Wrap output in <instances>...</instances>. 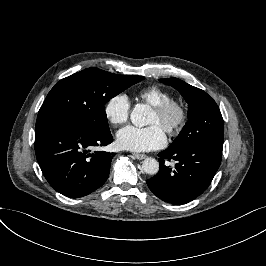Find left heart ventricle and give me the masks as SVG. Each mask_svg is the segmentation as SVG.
<instances>
[{
  "mask_svg": "<svg viewBox=\"0 0 266 266\" xmlns=\"http://www.w3.org/2000/svg\"><path fill=\"white\" fill-rule=\"evenodd\" d=\"M175 117H176V113H173L171 115V119H174ZM165 122H166V120L154 111L151 113V115L149 117V121H148V123L160 125L163 129L165 127Z\"/></svg>",
  "mask_w": 266,
  "mask_h": 266,
  "instance_id": "obj_1",
  "label": "left heart ventricle"
}]
</instances>
